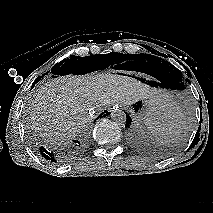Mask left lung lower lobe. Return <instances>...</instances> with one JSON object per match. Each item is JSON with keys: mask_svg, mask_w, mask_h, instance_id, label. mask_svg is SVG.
<instances>
[{"mask_svg": "<svg viewBox=\"0 0 213 213\" xmlns=\"http://www.w3.org/2000/svg\"><path fill=\"white\" fill-rule=\"evenodd\" d=\"M155 81H149L148 84H150L152 87H162L164 89H174V86L170 80L164 77H155ZM132 120L129 115H127L126 125L125 128L129 127Z\"/></svg>", "mask_w": 213, "mask_h": 213, "instance_id": "1", "label": "left lung lower lobe"}]
</instances>
